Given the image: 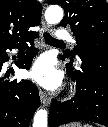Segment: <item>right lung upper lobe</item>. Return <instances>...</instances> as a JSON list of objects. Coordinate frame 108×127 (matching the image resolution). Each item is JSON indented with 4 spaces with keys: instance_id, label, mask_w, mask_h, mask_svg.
Wrapping results in <instances>:
<instances>
[{
    "instance_id": "cb5924a9",
    "label": "right lung upper lobe",
    "mask_w": 108,
    "mask_h": 127,
    "mask_svg": "<svg viewBox=\"0 0 108 127\" xmlns=\"http://www.w3.org/2000/svg\"><path fill=\"white\" fill-rule=\"evenodd\" d=\"M41 8L36 0H0V45L29 35L28 28L40 22Z\"/></svg>"
}]
</instances>
